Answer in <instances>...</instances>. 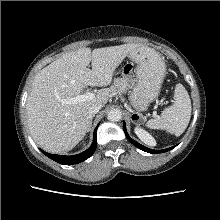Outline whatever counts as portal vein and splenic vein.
Returning a JSON list of instances; mask_svg holds the SVG:
<instances>
[{"instance_id":"18ae733b","label":"portal vein and splenic vein","mask_w":220,"mask_h":220,"mask_svg":"<svg viewBox=\"0 0 220 220\" xmlns=\"http://www.w3.org/2000/svg\"><path fill=\"white\" fill-rule=\"evenodd\" d=\"M95 98V95L91 92H86L85 94L83 95H79L77 97H74V98H71L67 101H65L66 103H72V104H75V103H78V102H83V101H87V100H93Z\"/></svg>"}]
</instances>
